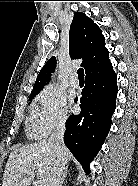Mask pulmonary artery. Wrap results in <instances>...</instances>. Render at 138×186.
<instances>
[{"label": "pulmonary artery", "instance_id": "pulmonary-artery-1", "mask_svg": "<svg viewBox=\"0 0 138 186\" xmlns=\"http://www.w3.org/2000/svg\"><path fill=\"white\" fill-rule=\"evenodd\" d=\"M70 85L74 88L79 87V80L76 74H73L70 78Z\"/></svg>", "mask_w": 138, "mask_h": 186}]
</instances>
